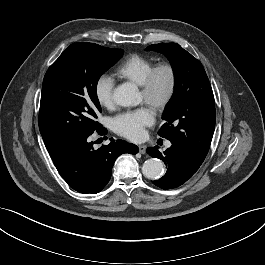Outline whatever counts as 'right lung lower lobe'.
I'll use <instances>...</instances> for the list:
<instances>
[{
	"label": "right lung lower lobe",
	"instance_id": "right-lung-lower-lobe-1",
	"mask_svg": "<svg viewBox=\"0 0 265 265\" xmlns=\"http://www.w3.org/2000/svg\"><path fill=\"white\" fill-rule=\"evenodd\" d=\"M97 132L106 133V129L100 127ZM90 135H83L48 152L58 172L72 189L96 194L109 182L116 158L123 153L136 154L138 147L111 139L110 144L95 150L94 143L89 141Z\"/></svg>",
	"mask_w": 265,
	"mask_h": 265
}]
</instances>
